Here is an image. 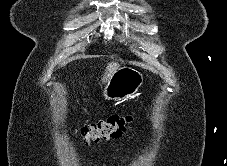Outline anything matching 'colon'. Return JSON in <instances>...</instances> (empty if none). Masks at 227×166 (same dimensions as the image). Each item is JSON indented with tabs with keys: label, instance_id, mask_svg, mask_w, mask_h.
Returning a JSON list of instances; mask_svg holds the SVG:
<instances>
[{
	"label": "colon",
	"instance_id": "obj_1",
	"mask_svg": "<svg viewBox=\"0 0 227 166\" xmlns=\"http://www.w3.org/2000/svg\"><path fill=\"white\" fill-rule=\"evenodd\" d=\"M131 120L129 115H111L105 120L78 128L76 134L86 145L117 138L128 130Z\"/></svg>",
	"mask_w": 227,
	"mask_h": 166
}]
</instances>
